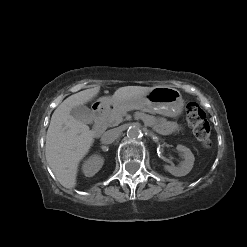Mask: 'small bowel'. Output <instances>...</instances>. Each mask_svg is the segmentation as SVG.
I'll return each instance as SVG.
<instances>
[{
	"mask_svg": "<svg viewBox=\"0 0 247 247\" xmlns=\"http://www.w3.org/2000/svg\"><path fill=\"white\" fill-rule=\"evenodd\" d=\"M153 122L156 124L157 129L161 133H169L176 127L175 124L165 120H158Z\"/></svg>",
	"mask_w": 247,
	"mask_h": 247,
	"instance_id": "1",
	"label": "small bowel"
}]
</instances>
